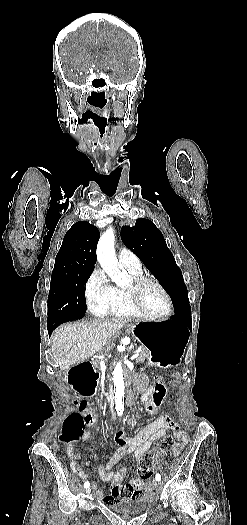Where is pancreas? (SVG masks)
I'll return each mask as SVG.
<instances>
[{
  "label": "pancreas",
  "mask_w": 247,
  "mask_h": 525,
  "mask_svg": "<svg viewBox=\"0 0 247 525\" xmlns=\"http://www.w3.org/2000/svg\"><path fill=\"white\" fill-rule=\"evenodd\" d=\"M134 353H137V350H134ZM139 353H140V356H139L138 359L147 361L149 359L148 354H150V349H148V348H141L139 350ZM91 363H92L94 369H99V361H98L97 357H94V359H92Z\"/></svg>",
  "instance_id": "pancreas-1"
}]
</instances>
